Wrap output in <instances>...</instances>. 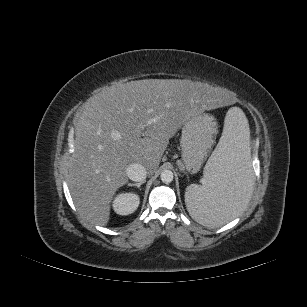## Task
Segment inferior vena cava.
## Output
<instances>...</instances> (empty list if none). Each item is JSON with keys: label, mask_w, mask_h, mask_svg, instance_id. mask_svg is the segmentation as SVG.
I'll return each instance as SVG.
<instances>
[{"label": "inferior vena cava", "mask_w": 307, "mask_h": 307, "mask_svg": "<svg viewBox=\"0 0 307 307\" xmlns=\"http://www.w3.org/2000/svg\"><path fill=\"white\" fill-rule=\"evenodd\" d=\"M126 173L129 179L135 182L144 181L147 175L146 168L138 163L130 164L126 169Z\"/></svg>", "instance_id": "obj_1"}]
</instances>
